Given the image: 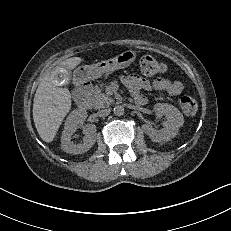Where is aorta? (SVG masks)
<instances>
[{
    "label": "aorta",
    "mask_w": 231,
    "mask_h": 231,
    "mask_svg": "<svg viewBox=\"0 0 231 231\" xmlns=\"http://www.w3.org/2000/svg\"><path fill=\"white\" fill-rule=\"evenodd\" d=\"M114 114L116 115V116H122L123 114H124V107L123 106H121V105H117V106H115L114 107Z\"/></svg>",
    "instance_id": "1"
}]
</instances>
